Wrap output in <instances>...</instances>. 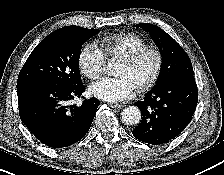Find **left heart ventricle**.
I'll use <instances>...</instances> for the list:
<instances>
[{"mask_svg":"<svg viewBox=\"0 0 224 175\" xmlns=\"http://www.w3.org/2000/svg\"><path fill=\"white\" fill-rule=\"evenodd\" d=\"M154 67L155 57L153 55H147L135 67H129L121 62L117 70V75L128 77L137 87L151 76Z\"/></svg>","mask_w":224,"mask_h":175,"instance_id":"left-heart-ventricle-1","label":"left heart ventricle"}]
</instances>
